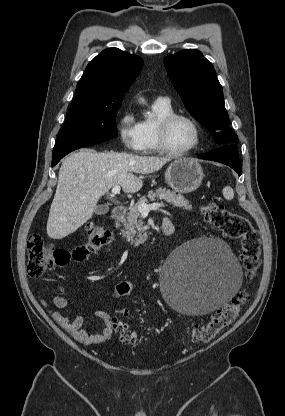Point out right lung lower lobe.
<instances>
[{
	"label": "right lung lower lobe",
	"instance_id": "right-lung-lower-lobe-1",
	"mask_svg": "<svg viewBox=\"0 0 285 416\" xmlns=\"http://www.w3.org/2000/svg\"><path fill=\"white\" fill-rule=\"evenodd\" d=\"M107 139H84V140H66L57 142L52 153V167L55 166L61 158L68 153L90 145H94Z\"/></svg>",
	"mask_w": 285,
	"mask_h": 416
}]
</instances>
